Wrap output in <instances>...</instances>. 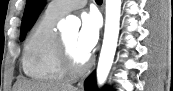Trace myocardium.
I'll return each mask as SVG.
<instances>
[{
  "instance_id": "myocardium-1",
  "label": "myocardium",
  "mask_w": 173,
  "mask_h": 91,
  "mask_svg": "<svg viewBox=\"0 0 173 91\" xmlns=\"http://www.w3.org/2000/svg\"><path fill=\"white\" fill-rule=\"evenodd\" d=\"M59 62L62 70L70 77L82 75L90 65L88 58L82 62L76 60L63 36L59 37Z\"/></svg>"
}]
</instances>
